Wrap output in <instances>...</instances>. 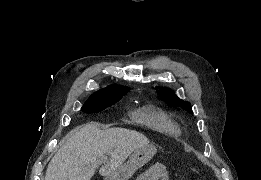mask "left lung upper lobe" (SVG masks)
<instances>
[{
	"instance_id": "1",
	"label": "left lung upper lobe",
	"mask_w": 261,
	"mask_h": 180,
	"mask_svg": "<svg viewBox=\"0 0 261 180\" xmlns=\"http://www.w3.org/2000/svg\"><path fill=\"white\" fill-rule=\"evenodd\" d=\"M159 96L166 102L181 107L184 110H187L190 113H193L189 102L183 101L175 96L171 90L161 89L158 91Z\"/></svg>"
}]
</instances>
